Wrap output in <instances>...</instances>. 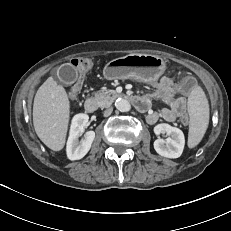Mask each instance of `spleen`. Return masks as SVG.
<instances>
[{
	"mask_svg": "<svg viewBox=\"0 0 231 231\" xmlns=\"http://www.w3.org/2000/svg\"><path fill=\"white\" fill-rule=\"evenodd\" d=\"M190 115L188 146L195 147L202 140L209 124V104L204 91L196 86L188 97Z\"/></svg>",
	"mask_w": 231,
	"mask_h": 231,
	"instance_id": "1",
	"label": "spleen"
}]
</instances>
